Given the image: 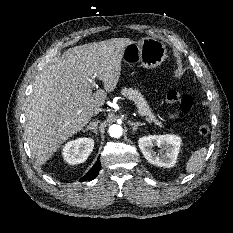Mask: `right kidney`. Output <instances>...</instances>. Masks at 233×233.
I'll list each match as a JSON object with an SVG mask.
<instances>
[{"instance_id": "right-kidney-1", "label": "right kidney", "mask_w": 233, "mask_h": 233, "mask_svg": "<svg viewBox=\"0 0 233 233\" xmlns=\"http://www.w3.org/2000/svg\"><path fill=\"white\" fill-rule=\"evenodd\" d=\"M94 140L92 138L82 137L67 142L62 149L64 160L71 164H80L86 161L93 151Z\"/></svg>"}]
</instances>
